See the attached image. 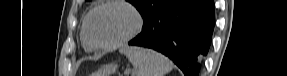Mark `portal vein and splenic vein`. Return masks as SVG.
<instances>
[{
	"instance_id": "18ae733b",
	"label": "portal vein and splenic vein",
	"mask_w": 287,
	"mask_h": 76,
	"mask_svg": "<svg viewBox=\"0 0 287 76\" xmlns=\"http://www.w3.org/2000/svg\"><path fill=\"white\" fill-rule=\"evenodd\" d=\"M125 73H126V75L128 76V73H129V72H128V71H125Z\"/></svg>"
}]
</instances>
